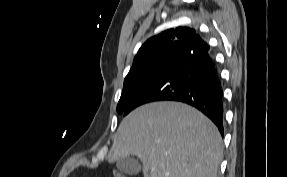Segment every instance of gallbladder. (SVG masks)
Instances as JSON below:
<instances>
[{"label":"gallbladder","mask_w":287,"mask_h":177,"mask_svg":"<svg viewBox=\"0 0 287 177\" xmlns=\"http://www.w3.org/2000/svg\"><path fill=\"white\" fill-rule=\"evenodd\" d=\"M116 166L120 172L127 175H137L141 171V164L133 156L119 158Z\"/></svg>","instance_id":"bac80fb5"}]
</instances>
